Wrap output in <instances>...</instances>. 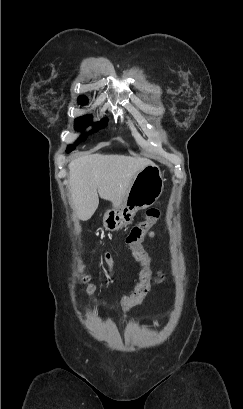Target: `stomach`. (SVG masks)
I'll return each instance as SVG.
<instances>
[{
	"label": "stomach",
	"mask_w": 243,
	"mask_h": 409,
	"mask_svg": "<svg viewBox=\"0 0 243 409\" xmlns=\"http://www.w3.org/2000/svg\"><path fill=\"white\" fill-rule=\"evenodd\" d=\"M164 189L160 168L151 163L136 173L124 202L108 210L103 217L106 230L117 231L133 221L135 214L155 204Z\"/></svg>",
	"instance_id": "0dacf381"
}]
</instances>
